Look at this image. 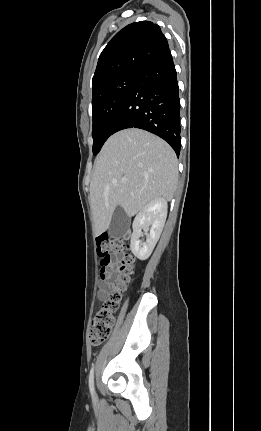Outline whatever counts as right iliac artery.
<instances>
[{
	"label": "right iliac artery",
	"instance_id": "1",
	"mask_svg": "<svg viewBox=\"0 0 261 431\" xmlns=\"http://www.w3.org/2000/svg\"><path fill=\"white\" fill-rule=\"evenodd\" d=\"M89 389L92 397L95 396V389H94V366L92 367L89 375Z\"/></svg>",
	"mask_w": 261,
	"mask_h": 431
}]
</instances>
